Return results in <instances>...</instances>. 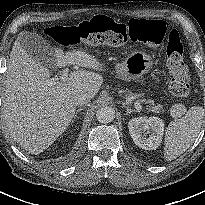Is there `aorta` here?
Instances as JSON below:
<instances>
[{
    "label": "aorta",
    "instance_id": "obj_1",
    "mask_svg": "<svg viewBox=\"0 0 205 205\" xmlns=\"http://www.w3.org/2000/svg\"><path fill=\"white\" fill-rule=\"evenodd\" d=\"M115 117V111L111 107H101L96 112V118L100 123H109L113 121Z\"/></svg>",
    "mask_w": 205,
    "mask_h": 205
}]
</instances>
